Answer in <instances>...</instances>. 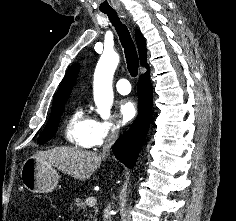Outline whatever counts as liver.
<instances>
[{
    "instance_id": "obj_1",
    "label": "liver",
    "mask_w": 236,
    "mask_h": 221,
    "mask_svg": "<svg viewBox=\"0 0 236 221\" xmlns=\"http://www.w3.org/2000/svg\"><path fill=\"white\" fill-rule=\"evenodd\" d=\"M34 157L82 181L90 178L106 158L96 152L65 146L39 151Z\"/></svg>"
}]
</instances>
